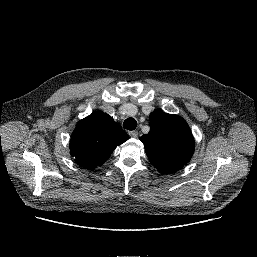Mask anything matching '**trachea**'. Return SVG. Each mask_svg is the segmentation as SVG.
Here are the masks:
<instances>
[{
  "mask_svg": "<svg viewBox=\"0 0 257 257\" xmlns=\"http://www.w3.org/2000/svg\"><path fill=\"white\" fill-rule=\"evenodd\" d=\"M123 127L127 130H134L137 127V122L134 118H127L123 123Z\"/></svg>",
  "mask_w": 257,
  "mask_h": 257,
  "instance_id": "3493384b",
  "label": "trachea"
}]
</instances>
